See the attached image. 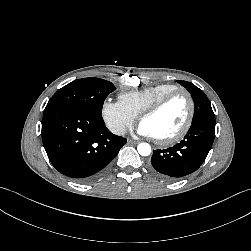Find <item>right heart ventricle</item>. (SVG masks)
I'll use <instances>...</instances> for the list:
<instances>
[{
	"label": "right heart ventricle",
	"mask_w": 251,
	"mask_h": 251,
	"mask_svg": "<svg viewBox=\"0 0 251 251\" xmlns=\"http://www.w3.org/2000/svg\"><path fill=\"white\" fill-rule=\"evenodd\" d=\"M176 89L177 86L172 84H157L141 90L121 93L119 101L128 112L137 117L159 98Z\"/></svg>",
	"instance_id": "e07e8e85"
}]
</instances>
